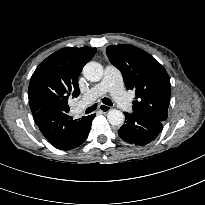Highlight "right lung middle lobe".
<instances>
[{
    "instance_id": "1",
    "label": "right lung middle lobe",
    "mask_w": 205,
    "mask_h": 205,
    "mask_svg": "<svg viewBox=\"0 0 205 205\" xmlns=\"http://www.w3.org/2000/svg\"><path fill=\"white\" fill-rule=\"evenodd\" d=\"M66 104H67V102L65 100L56 103L57 107L60 108V109H62L61 107L65 106Z\"/></svg>"
}]
</instances>
